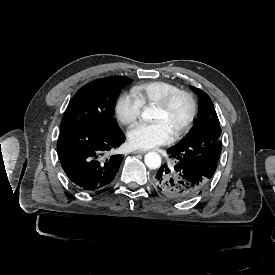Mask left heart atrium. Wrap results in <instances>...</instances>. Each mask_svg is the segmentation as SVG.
<instances>
[{
    "mask_svg": "<svg viewBox=\"0 0 275 275\" xmlns=\"http://www.w3.org/2000/svg\"><path fill=\"white\" fill-rule=\"evenodd\" d=\"M127 137L132 148L149 149L168 143L172 139V134L161 122L154 121L135 125Z\"/></svg>",
    "mask_w": 275,
    "mask_h": 275,
    "instance_id": "39dd6f15",
    "label": "left heart atrium"
}]
</instances>
